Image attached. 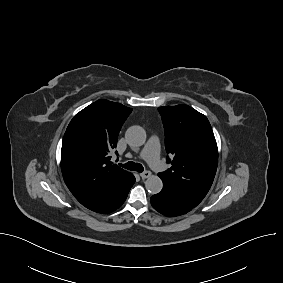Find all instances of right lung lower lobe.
<instances>
[{
    "mask_svg": "<svg viewBox=\"0 0 283 283\" xmlns=\"http://www.w3.org/2000/svg\"><path fill=\"white\" fill-rule=\"evenodd\" d=\"M135 182V177L132 175L131 180L128 182L127 186L111 201L108 205L105 207H102L100 209L94 210L97 213H111L118 209L126 200V197L128 195V192L130 188L133 186Z\"/></svg>",
    "mask_w": 283,
    "mask_h": 283,
    "instance_id": "1",
    "label": "right lung lower lobe"
}]
</instances>
